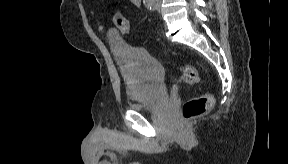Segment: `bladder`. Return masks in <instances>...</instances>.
Here are the masks:
<instances>
[{
	"mask_svg": "<svg viewBox=\"0 0 288 164\" xmlns=\"http://www.w3.org/2000/svg\"><path fill=\"white\" fill-rule=\"evenodd\" d=\"M109 44L127 86L130 109L139 113H153L166 106L170 94L157 59L128 45L117 35L109 37Z\"/></svg>",
	"mask_w": 288,
	"mask_h": 164,
	"instance_id": "obj_1",
	"label": "bladder"
}]
</instances>
